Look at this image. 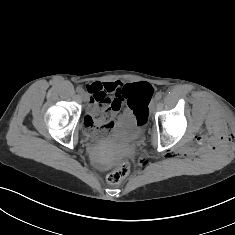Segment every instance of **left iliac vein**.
Here are the masks:
<instances>
[{"instance_id":"4c4485c4","label":"left iliac vein","mask_w":235,"mask_h":235,"mask_svg":"<svg viewBox=\"0 0 235 235\" xmlns=\"http://www.w3.org/2000/svg\"><path fill=\"white\" fill-rule=\"evenodd\" d=\"M156 103H157V100L155 98H153L150 102V105H149V109L151 112L155 110Z\"/></svg>"}]
</instances>
